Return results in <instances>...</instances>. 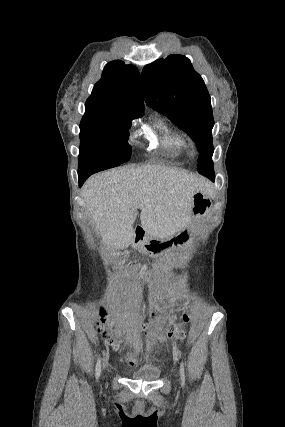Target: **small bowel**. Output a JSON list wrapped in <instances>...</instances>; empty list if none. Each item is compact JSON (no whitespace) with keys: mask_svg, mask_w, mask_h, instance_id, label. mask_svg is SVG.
<instances>
[{"mask_svg":"<svg viewBox=\"0 0 285 427\" xmlns=\"http://www.w3.org/2000/svg\"><path fill=\"white\" fill-rule=\"evenodd\" d=\"M168 307H169V304H168V302H163V303H160V304H157V305H154V306H150L149 307V314H150V322H153V318H154V313H155V311L156 310H166V309H168Z\"/></svg>","mask_w":285,"mask_h":427,"instance_id":"obj_1","label":"small bowel"}]
</instances>
